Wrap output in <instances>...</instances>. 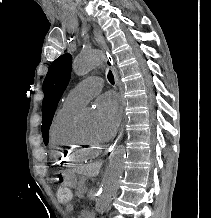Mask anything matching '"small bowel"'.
Returning <instances> with one entry per match:
<instances>
[{"label": "small bowel", "instance_id": "small-bowel-1", "mask_svg": "<svg viewBox=\"0 0 211 218\" xmlns=\"http://www.w3.org/2000/svg\"><path fill=\"white\" fill-rule=\"evenodd\" d=\"M66 208H67V210H68V211H70V210H72V209H73V206H72V204H71V203H69V204H67Z\"/></svg>", "mask_w": 211, "mask_h": 218}]
</instances>
